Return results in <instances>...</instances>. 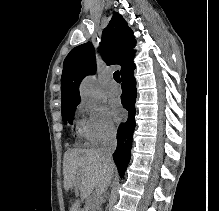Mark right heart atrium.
Segmentation results:
<instances>
[{"instance_id":"obj_1","label":"right heart atrium","mask_w":219,"mask_h":211,"mask_svg":"<svg viewBox=\"0 0 219 211\" xmlns=\"http://www.w3.org/2000/svg\"><path fill=\"white\" fill-rule=\"evenodd\" d=\"M78 111L82 116L80 132L90 145L99 146L114 140L116 127L105 106L82 101L78 105Z\"/></svg>"}]
</instances>
